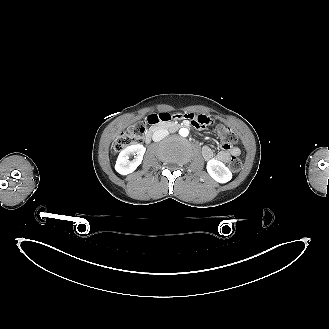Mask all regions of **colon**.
I'll use <instances>...</instances> for the list:
<instances>
[{
  "mask_svg": "<svg viewBox=\"0 0 329 329\" xmlns=\"http://www.w3.org/2000/svg\"><path fill=\"white\" fill-rule=\"evenodd\" d=\"M164 113H166V112L162 113L163 116H164ZM192 115H195V114H192ZM191 125H193V124H191ZM145 129H146V126L144 123H138L134 126L127 128L117 139L115 146H114V152L115 153L120 152L121 150L140 142V140L142 139V137L144 135ZM201 129H203V128H201ZM216 132H217L219 138L221 139L224 147L229 148L238 142L237 135L229 127H226L223 125H218L216 127ZM241 166H242V161L240 160V158L232 157L230 159L229 168L232 171H234V172L239 171L241 169Z\"/></svg>",
  "mask_w": 329,
  "mask_h": 329,
  "instance_id": "5ec220e1",
  "label": "colon"
}]
</instances>
